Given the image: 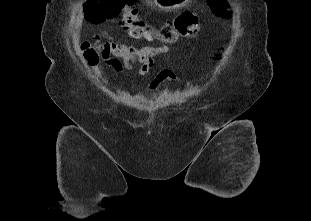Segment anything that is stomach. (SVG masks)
<instances>
[{"label": "stomach", "instance_id": "1", "mask_svg": "<svg viewBox=\"0 0 311 221\" xmlns=\"http://www.w3.org/2000/svg\"><path fill=\"white\" fill-rule=\"evenodd\" d=\"M149 2L158 10H173V8L183 6L186 0H149Z\"/></svg>", "mask_w": 311, "mask_h": 221}]
</instances>
